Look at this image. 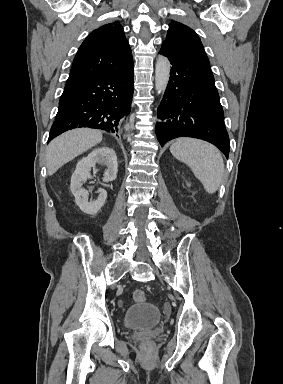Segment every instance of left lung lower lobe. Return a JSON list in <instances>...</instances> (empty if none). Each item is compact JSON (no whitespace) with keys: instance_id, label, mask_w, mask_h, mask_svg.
I'll use <instances>...</instances> for the list:
<instances>
[{"instance_id":"obj_1","label":"left lung lower lobe","mask_w":283,"mask_h":384,"mask_svg":"<svg viewBox=\"0 0 283 384\" xmlns=\"http://www.w3.org/2000/svg\"><path fill=\"white\" fill-rule=\"evenodd\" d=\"M160 53L172 65L155 128L161 146L173 138L194 137L216 145L228 158L229 137L209 63L177 52L164 43Z\"/></svg>"}]
</instances>
